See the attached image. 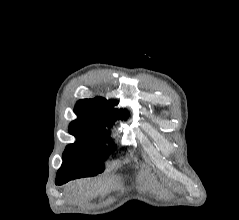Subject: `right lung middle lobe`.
<instances>
[{
    "instance_id": "right-lung-middle-lobe-1",
    "label": "right lung middle lobe",
    "mask_w": 239,
    "mask_h": 220,
    "mask_svg": "<svg viewBox=\"0 0 239 220\" xmlns=\"http://www.w3.org/2000/svg\"><path fill=\"white\" fill-rule=\"evenodd\" d=\"M69 132L77 141L69 144L64 151L63 164L56 177L58 184L103 172V161L115 148L114 145L105 147V143L109 140L105 128L90 129L70 125Z\"/></svg>"
}]
</instances>
